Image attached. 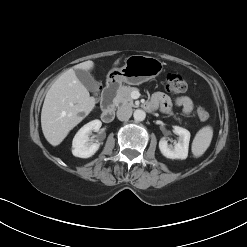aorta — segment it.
Instances as JSON below:
<instances>
[{"label":"aorta","instance_id":"aorta-1","mask_svg":"<svg viewBox=\"0 0 247 247\" xmlns=\"http://www.w3.org/2000/svg\"><path fill=\"white\" fill-rule=\"evenodd\" d=\"M133 117L136 121H143L146 117V113L141 109H136L134 111Z\"/></svg>","mask_w":247,"mask_h":247}]
</instances>
